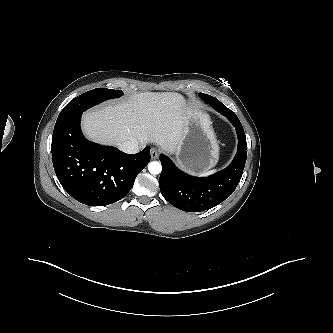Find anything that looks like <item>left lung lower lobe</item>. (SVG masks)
<instances>
[{
    "label": "left lung lower lobe",
    "instance_id": "left-lung-lower-lobe-1",
    "mask_svg": "<svg viewBox=\"0 0 333 333\" xmlns=\"http://www.w3.org/2000/svg\"><path fill=\"white\" fill-rule=\"evenodd\" d=\"M202 100L233 124L238 136V148L227 168L208 177L188 175L164 154L159 157L162 164L159 178L161 194L170 204L188 212L208 210L227 199L241 179L247 156L246 136L236 114L213 96H204Z\"/></svg>",
    "mask_w": 333,
    "mask_h": 333
}]
</instances>
